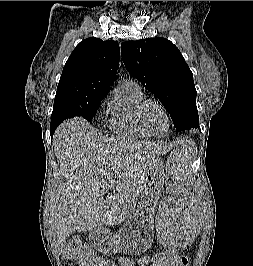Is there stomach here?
I'll list each match as a JSON object with an SVG mask.
<instances>
[{"label":"stomach","mask_w":253,"mask_h":266,"mask_svg":"<svg viewBox=\"0 0 253 266\" xmlns=\"http://www.w3.org/2000/svg\"><path fill=\"white\" fill-rule=\"evenodd\" d=\"M163 171L164 166L159 159L156 160L144 177L136 210L114 236L103 235L94 244L96 248L104 252L116 250L127 255H140L151 247L155 217L152 198L160 189Z\"/></svg>","instance_id":"0dacf381"}]
</instances>
